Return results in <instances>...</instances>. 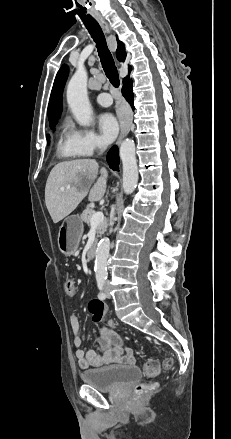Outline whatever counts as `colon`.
I'll return each mask as SVG.
<instances>
[{"label": "colon", "instance_id": "colon-1", "mask_svg": "<svg viewBox=\"0 0 231 439\" xmlns=\"http://www.w3.org/2000/svg\"><path fill=\"white\" fill-rule=\"evenodd\" d=\"M65 293L68 296H74L76 294V285L72 279H68L64 285ZM89 312L92 316L93 321L100 322L106 318V308L102 301L92 300L88 305ZM174 365V360L172 358H166L163 362V366L165 369H171ZM143 373L148 378H153L157 376L159 373V364L158 362L151 360L147 362L143 367ZM153 385H148L144 383H140L135 387V394L142 395L147 391L151 390Z\"/></svg>", "mask_w": 231, "mask_h": 439}]
</instances>
